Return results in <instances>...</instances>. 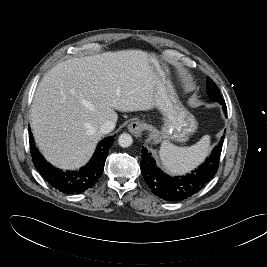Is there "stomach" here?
Here are the masks:
<instances>
[{
  "label": "stomach",
  "instance_id": "obj_1",
  "mask_svg": "<svg viewBox=\"0 0 267 267\" xmlns=\"http://www.w3.org/2000/svg\"><path fill=\"white\" fill-rule=\"evenodd\" d=\"M155 74L154 105L164 116L158 132L160 139L184 142L197 129L194 116L183 106L172 84L169 66L155 55L148 54Z\"/></svg>",
  "mask_w": 267,
  "mask_h": 267
}]
</instances>
